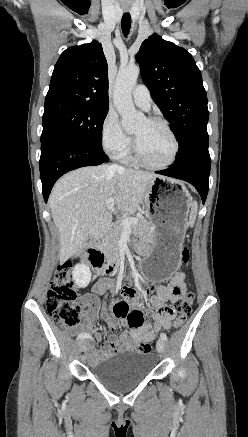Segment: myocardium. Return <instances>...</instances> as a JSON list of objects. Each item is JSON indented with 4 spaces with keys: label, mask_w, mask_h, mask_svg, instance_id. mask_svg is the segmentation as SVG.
<instances>
[{
    "label": "myocardium",
    "mask_w": 248,
    "mask_h": 437,
    "mask_svg": "<svg viewBox=\"0 0 248 437\" xmlns=\"http://www.w3.org/2000/svg\"><path fill=\"white\" fill-rule=\"evenodd\" d=\"M146 120L150 123L161 124L166 129V131L168 132V134L170 135V137L173 141L174 149H173V152H172L170 159L167 162L162 163V164H153L144 158V156L142 155V153L138 147V144H137L135 137H133L132 149H133L134 156H135L136 160L146 168L156 169V170L168 168L171 165H173L177 159L179 149H180L178 138L175 135L172 128L170 127L169 123L165 119H163L161 117H148V118H146Z\"/></svg>",
    "instance_id": "obj_1"
}]
</instances>
